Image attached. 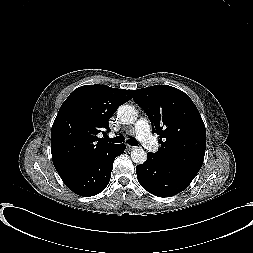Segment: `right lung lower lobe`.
Wrapping results in <instances>:
<instances>
[{"label": "right lung lower lobe", "instance_id": "98d812e1", "mask_svg": "<svg viewBox=\"0 0 253 253\" xmlns=\"http://www.w3.org/2000/svg\"><path fill=\"white\" fill-rule=\"evenodd\" d=\"M124 150V144H115L88 165L60 177L70 190L80 196L97 195L107 187L113 162Z\"/></svg>", "mask_w": 253, "mask_h": 253}]
</instances>
